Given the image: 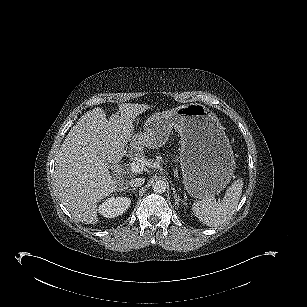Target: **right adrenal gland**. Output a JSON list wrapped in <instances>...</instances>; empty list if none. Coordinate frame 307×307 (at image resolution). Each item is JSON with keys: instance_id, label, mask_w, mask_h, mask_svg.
<instances>
[{"instance_id": "1", "label": "right adrenal gland", "mask_w": 307, "mask_h": 307, "mask_svg": "<svg viewBox=\"0 0 307 307\" xmlns=\"http://www.w3.org/2000/svg\"><path fill=\"white\" fill-rule=\"evenodd\" d=\"M135 190H136V188L129 189V191H133V192H134Z\"/></svg>"}]
</instances>
